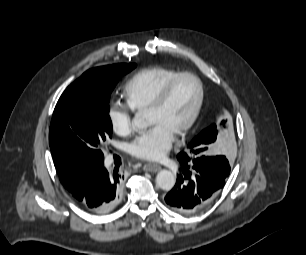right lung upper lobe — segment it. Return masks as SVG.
Instances as JSON below:
<instances>
[{
	"instance_id": "obj_1",
	"label": "right lung upper lobe",
	"mask_w": 306,
	"mask_h": 255,
	"mask_svg": "<svg viewBox=\"0 0 306 255\" xmlns=\"http://www.w3.org/2000/svg\"><path fill=\"white\" fill-rule=\"evenodd\" d=\"M110 66L111 65L90 69V70L86 71L80 78H86V77H89L91 79L104 78V77L109 75V73H110ZM73 188H74V186L67 187L66 189L70 192V191L73 190Z\"/></svg>"
}]
</instances>
